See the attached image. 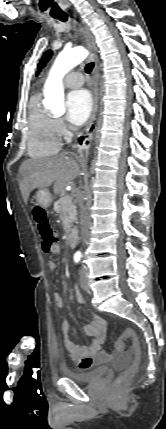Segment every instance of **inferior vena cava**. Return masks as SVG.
<instances>
[{
	"label": "inferior vena cava",
	"mask_w": 166,
	"mask_h": 429,
	"mask_svg": "<svg viewBox=\"0 0 166 429\" xmlns=\"http://www.w3.org/2000/svg\"><path fill=\"white\" fill-rule=\"evenodd\" d=\"M80 229H81V241L84 243L86 242L88 233H89V227L91 225L90 216L88 213V206L84 205V199L83 195L80 199Z\"/></svg>",
	"instance_id": "inferior-vena-cava-1"
}]
</instances>
